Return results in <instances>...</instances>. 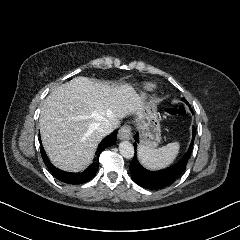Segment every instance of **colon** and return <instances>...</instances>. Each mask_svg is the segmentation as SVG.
I'll list each match as a JSON object with an SVG mask.
<instances>
[{"label": "colon", "instance_id": "obj_1", "mask_svg": "<svg viewBox=\"0 0 240 240\" xmlns=\"http://www.w3.org/2000/svg\"><path fill=\"white\" fill-rule=\"evenodd\" d=\"M171 113L173 115H185L187 113V108L183 105L172 108Z\"/></svg>", "mask_w": 240, "mask_h": 240}]
</instances>
